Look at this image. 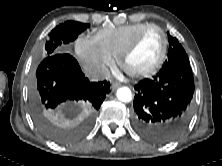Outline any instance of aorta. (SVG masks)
<instances>
[{"mask_svg": "<svg viewBox=\"0 0 222 166\" xmlns=\"http://www.w3.org/2000/svg\"><path fill=\"white\" fill-rule=\"evenodd\" d=\"M117 98L121 102H129L132 99L131 90L128 87H121L117 90Z\"/></svg>", "mask_w": 222, "mask_h": 166, "instance_id": "obj_1", "label": "aorta"}]
</instances>
